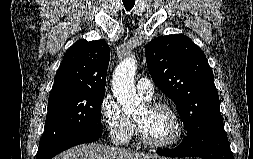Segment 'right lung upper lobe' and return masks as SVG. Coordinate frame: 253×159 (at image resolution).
Masks as SVG:
<instances>
[{
    "instance_id": "right-lung-upper-lobe-1",
    "label": "right lung upper lobe",
    "mask_w": 253,
    "mask_h": 159,
    "mask_svg": "<svg viewBox=\"0 0 253 159\" xmlns=\"http://www.w3.org/2000/svg\"><path fill=\"white\" fill-rule=\"evenodd\" d=\"M110 47L104 40H79L64 54L51 97L105 91Z\"/></svg>"
}]
</instances>
